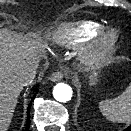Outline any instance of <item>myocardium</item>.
<instances>
[{"mask_svg":"<svg viewBox=\"0 0 131 131\" xmlns=\"http://www.w3.org/2000/svg\"><path fill=\"white\" fill-rule=\"evenodd\" d=\"M119 42V32L112 27L99 30L81 51L80 57L86 65L104 62L115 50Z\"/></svg>","mask_w":131,"mask_h":131,"instance_id":"myocardium-1","label":"myocardium"}]
</instances>
